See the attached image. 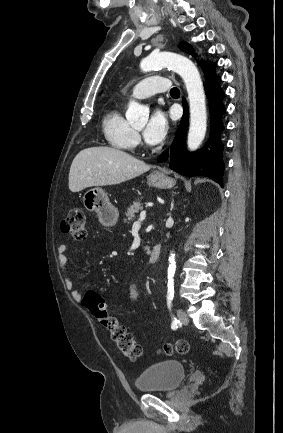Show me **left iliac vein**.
<instances>
[{
    "label": "left iliac vein",
    "mask_w": 283,
    "mask_h": 433,
    "mask_svg": "<svg viewBox=\"0 0 283 433\" xmlns=\"http://www.w3.org/2000/svg\"><path fill=\"white\" fill-rule=\"evenodd\" d=\"M177 315H178L179 321L182 324H184V325L188 324L189 319H188V316H187V314H186V312L184 310L178 309Z\"/></svg>",
    "instance_id": "left-iliac-vein-1"
}]
</instances>
